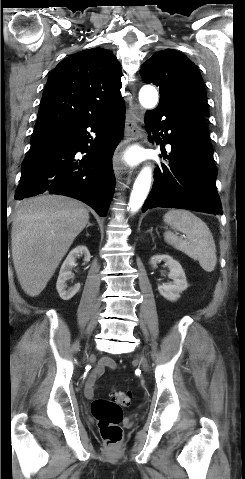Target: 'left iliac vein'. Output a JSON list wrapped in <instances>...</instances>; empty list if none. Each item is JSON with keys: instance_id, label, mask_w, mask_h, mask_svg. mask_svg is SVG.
Masks as SVG:
<instances>
[{"instance_id": "obj_1", "label": "left iliac vein", "mask_w": 245, "mask_h": 479, "mask_svg": "<svg viewBox=\"0 0 245 479\" xmlns=\"http://www.w3.org/2000/svg\"><path fill=\"white\" fill-rule=\"evenodd\" d=\"M139 360H140L141 364L143 365V367H144L145 369H147V362H146L145 358H144L142 355L139 356Z\"/></svg>"}]
</instances>
